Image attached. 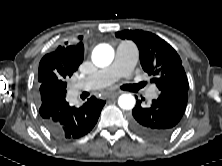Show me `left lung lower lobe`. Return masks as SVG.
<instances>
[{
    "label": "left lung lower lobe",
    "instance_id": "0a47b994",
    "mask_svg": "<svg viewBox=\"0 0 222 166\" xmlns=\"http://www.w3.org/2000/svg\"><path fill=\"white\" fill-rule=\"evenodd\" d=\"M187 101L188 90L178 87L162 89L159 97L147 107L137 100L130 119L131 128L148 139L166 138L182 118Z\"/></svg>",
    "mask_w": 222,
    "mask_h": 166
}]
</instances>
